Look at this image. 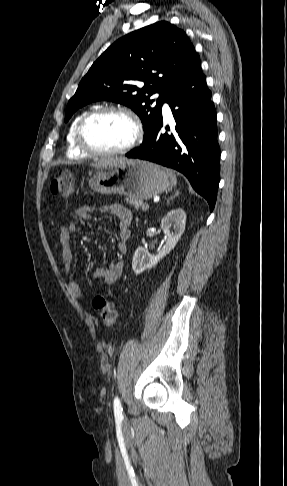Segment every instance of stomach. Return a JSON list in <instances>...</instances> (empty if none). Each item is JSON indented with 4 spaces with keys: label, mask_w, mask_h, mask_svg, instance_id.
I'll return each instance as SVG.
<instances>
[{
    "label": "stomach",
    "mask_w": 287,
    "mask_h": 486,
    "mask_svg": "<svg viewBox=\"0 0 287 486\" xmlns=\"http://www.w3.org/2000/svg\"><path fill=\"white\" fill-rule=\"evenodd\" d=\"M169 185V175L164 168L141 160H126L89 179L90 188L97 193L125 195L137 200L159 195Z\"/></svg>",
    "instance_id": "1"
}]
</instances>
